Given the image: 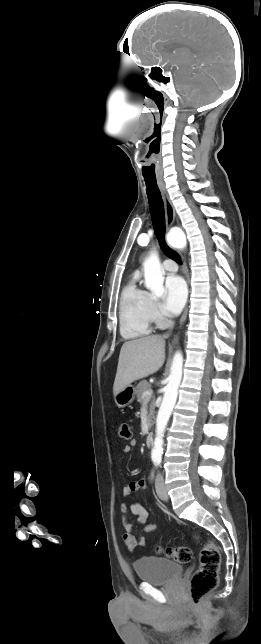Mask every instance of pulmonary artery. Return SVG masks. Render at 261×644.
Here are the masks:
<instances>
[{"instance_id": "e3ab8cb5", "label": "pulmonary artery", "mask_w": 261, "mask_h": 644, "mask_svg": "<svg viewBox=\"0 0 261 644\" xmlns=\"http://www.w3.org/2000/svg\"><path fill=\"white\" fill-rule=\"evenodd\" d=\"M163 268L166 271L175 272L177 270V265L173 260H165L163 262Z\"/></svg>"}]
</instances>
